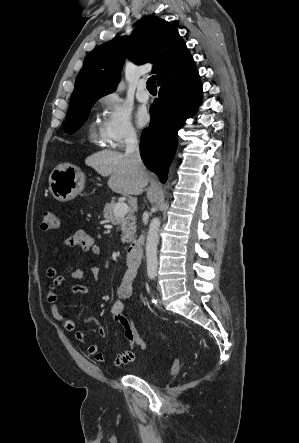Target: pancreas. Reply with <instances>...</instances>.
<instances>
[{
	"label": "pancreas",
	"instance_id": "pancreas-1",
	"mask_svg": "<svg viewBox=\"0 0 299 443\" xmlns=\"http://www.w3.org/2000/svg\"><path fill=\"white\" fill-rule=\"evenodd\" d=\"M116 203L112 201L104 206L103 216L106 220L116 225L119 224L122 231L121 241L123 243H130L136 238V219L133 213H128L124 217H116L114 214V207Z\"/></svg>",
	"mask_w": 299,
	"mask_h": 443
}]
</instances>
